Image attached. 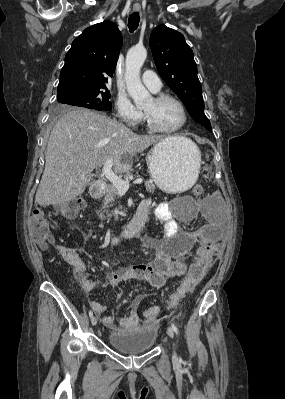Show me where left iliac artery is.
<instances>
[{
    "label": "left iliac artery",
    "instance_id": "obj_1",
    "mask_svg": "<svg viewBox=\"0 0 285 399\" xmlns=\"http://www.w3.org/2000/svg\"><path fill=\"white\" fill-rule=\"evenodd\" d=\"M172 329H173V331H174L175 333L178 334V328H177V326H176L174 323L172 324Z\"/></svg>",
    "mask_w": 285,
    "mask_h": 399
}]
</instances>
